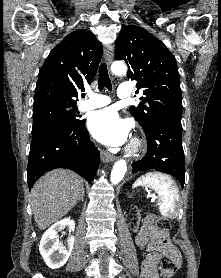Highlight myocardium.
I'll list each match as a JSON object with an SVG mask.
<instances>
[{
  "label": "myocardium",
  "mask_w": 221,
  "mask_h": 278,
  "mask_svg": "<svg viewBox=\"0 0 221 278\" xmlns=\"http://www.w3.org/2000/svg\"><path fill=\"white\" fill-rule=\"evenodd\" d=\"M143 146V142L139 138H134L127 148V153L130 155L137 154Z\"/></svg>",
  "instance_id": "1"
}]
</instances>
